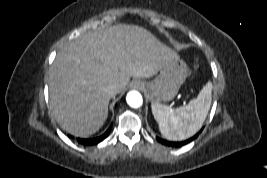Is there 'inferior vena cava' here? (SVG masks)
Wrapping results in <instances>:
<instances>
[{
	"instance_id": "1",
	"label": "inferior vena cava",
	"mask_w": 267,
	"mask_h": 178,
	"mask_svg": "<svg viewBox=\"0 0 267 178\" xmlns=\"http://www.w3.org/2000/svg\"><path fill=\"white\" fill-rule=\"evenodd\" d=\"M106 93L110 97H114L118 93V88L115 84H110L106 87Z\"/></svg>"
}]
</instances>
